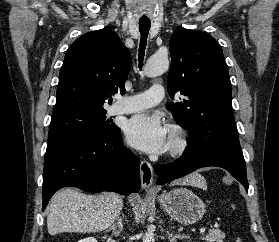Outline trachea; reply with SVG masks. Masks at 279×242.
Returning <instances> with one entry per match:
<instances>
[{"instance_id":"1","label":"trachea","mask_w":279,"mask_h":242,"mask_svg":"<svg viewBox=\"0 0 279 242\" xmlns=\"http://www.w3.org/2000/svg\"><path fill=\"white\" fill-rule=\"evenodd\" d=\"M151 27V22L149 20H141L139 21V31L141 34L140 44H139V53H138V61L139 68L141 69L143 66L144 54L147 45V37Z\"/></svg>"}]
</instances>
